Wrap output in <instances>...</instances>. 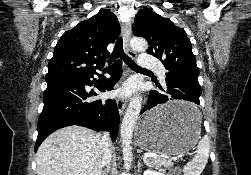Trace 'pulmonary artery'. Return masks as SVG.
Here are the masks:
<instances>
[{
    "label": "pulmonary artery",
    "mask_w": 251,
    "mask_h": 175,
    "mask_svg": "<svg viewBox=\"0 0 251 175\" xmlns=\"http://www.w3.org/2000/svg\"><path fill=\"white\" fill-rule=\"evenodd\" d=\"M139 63L141 67L145 70H156L155 74L160 75V79H167V74H165L164 65L159 62V58H153L152 55H148V52H140Z\"/></svg>",
    "instance_id": "1"
}]
</instances>
